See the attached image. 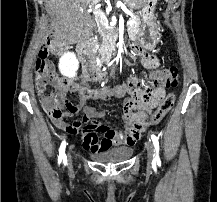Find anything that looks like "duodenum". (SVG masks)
<instances>
[{"mask_svg": "<svg viewBox=\"0 0 217 202\" xmlns=\"http://www.w3.org/2000/svg\"><path fill=\"white\" fill-rule=\"evenodd\" d=\"M83 78L86 81L98 82L105 77V72L97 67L93 56V42H87L81 47Z\"/></svg>", "mask_w": 217, "mask_h": 202, "instance_id": "410a0bca", "label": "duodenum"}]
</instances>
